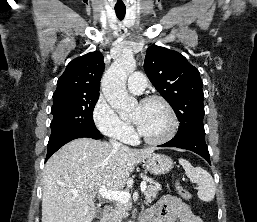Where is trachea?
Returning a JSON list of instances; mask_svg holds the SVG:
<instances>
[{
    "mask_svg": "<svg viewBox=\"0 0 257 222\" xmlns=\"http://www.w3.org/2000/svg\"><path fill=\"white\" fill-rule=\"evenodd\" d=\"M115 12H116V16H117V18H118L119 20H123V19H124L125 13H126L125 10H117V9H116Z\"/></svg>",
    "mask_w": 257,
    "mask_h": 222,
    "instance_id": "trachea-1",
    "label": "trachea"
}]
</instances>
